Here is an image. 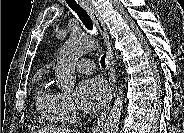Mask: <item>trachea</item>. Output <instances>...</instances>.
Returning a JSON list of instances; mask_svg holds the SVG:
<instances>
[{"label":"trachea","mask_w":184,"mask_h":133,"mask_svg":"<svg viewBox=\"0 0 184 133\" xmlns=\"http://www.w3.org/2000/svg\"><path fill=\"white\" fill-rule=\"evenodd\" d=\"M68 6L74 11L79 19L82 21L83 25L88 29V30H93V25L90 17L88 14L77 4L75 0H66ZM106 55L104 54L101 57L100 63L103 68L106 66Z\"/></svg>","instance_id":"obj_1"}]
</instances>
